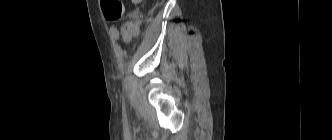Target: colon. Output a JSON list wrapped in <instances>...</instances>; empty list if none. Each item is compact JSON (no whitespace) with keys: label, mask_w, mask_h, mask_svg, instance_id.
<instances>
[{"label":"colon","mask_w":332,"mask_h":140,"mask_svg":"<svg viewBox=\"0 0 332 140\" xmlns=\"http://www.w3.org/2000/svg\"><path fill=\"white\" fill-rule=\"evenodd\" d=\"M101 8L109 22L120 20L124 14V4L121 0H101Z\"/></svg>","instance_id":"obj_1"}]
</instances>
